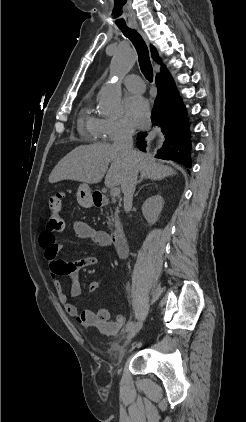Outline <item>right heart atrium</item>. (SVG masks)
Listing matches in <instances>:
<instances>
[{
    "mask_svg": "<svg viewBox=\"0 0 246 422\" xmlns=\"http://www.w3.org/2000/svg\"><path fill=\"white\" fill-rule=\"evenodd\" d=\"M132 133V128L121 119H101L100 137L105 141H115Z\"/></svg>",
    "mask_w": 246,
    "mask_h": 422,
    "instance_id": "obj_1",
    "label": "right heart atrium"
}]
</instances>
